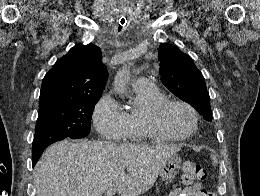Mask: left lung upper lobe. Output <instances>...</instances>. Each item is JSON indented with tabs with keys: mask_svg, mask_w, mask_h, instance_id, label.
Returning <instances> with one entry per match:
<instances>
[{
	"mask_svg": "<svg viewBox=\"0 0 260 196\" xmlns=\"http://www.w3.org/2000/svg\"><path fill=\"white\" fill-rule=\"evenodd\" d=\"M160 73L165 87L191 104L207 121H212L210 97L205 80L193 60L168 43L160 44Z\"/></svg>",
	"mask_w": 260,
	"mask_h": 196,
	"instance_id": "obj_1",
	"label": "left lung upper lobe"
}]
</instances>
